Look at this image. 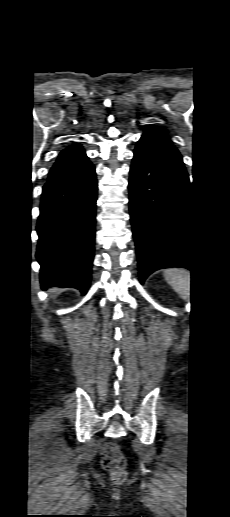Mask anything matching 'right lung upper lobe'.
Segmentation results:
<instances>
[{
	"label": "right lung upper lobe",
	"instance_id": "1",
	"mask_svg": "<svg viewBox=\"0 0 230 517\" xmlns=\"http://www.w3.org/2000/svg\"><path fill=\"white\" fill-rule=\"evenodd\" d=\"M88 162V157L81 146H70L59 154L56 163L50 170L48 180L67 175Z\"/></svg>",
	"mask_w": 230,
	"mask_h": 517
}]
</instances>
